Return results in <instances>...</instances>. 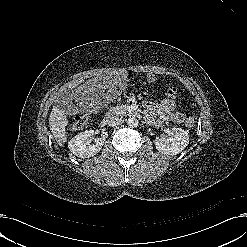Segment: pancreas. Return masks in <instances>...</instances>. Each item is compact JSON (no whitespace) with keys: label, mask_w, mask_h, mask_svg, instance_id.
Wrapping results in <instances>:
<instances>
[{"label":"pancreas","mask_w":247,"mask_h":247,"mask_svg":"<svg viewBox=\"0 0 247 247\" xmlns=\"http://www.w3.org/2000/svg\"><path fill=\"white\" fill-rule=\"evenodd\" d=\"M113 110L118 112L122 116L132 114V109L128 105H118L114 107Z\"/></svg>","instance_id":"cf45deb5"}]
</instances>
